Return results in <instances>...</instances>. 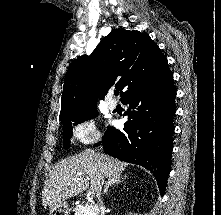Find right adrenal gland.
Returning a JSON list of instances; mask_svg holds the SVG:
<instances>
[{
    "label": "right adrenal gland",
    "mask_w": 221,
    "mask_h": 215,
    "mask_svg": "<svg viewBox=\"0 0 221 215\" xmlns=\"http://www.w3.org/2000/svg\"><path fill=\"white\" fill-rule=\"evenodd\" d=\"M126 178H127V176L123 177L121 175H118V176H115L113 178L108 179V181L106 183V186H105V189L103 191V194H106L108 192L109 187L123 182Z\"/></svg>",
    "instance_id": "1"
}]
</instances>
